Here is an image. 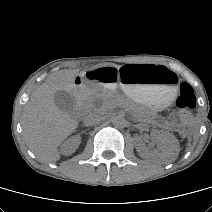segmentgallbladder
Returning <instances> with one entry per match:
<instances>
[{"instance_id": "obj_1", "label": "gallbladder", "mask_w": 212, "mask_h": 212, "mask_svg": "<svg viewBox=\"0 0 212 212\" xmlns=\"http://www.w3.org/2000/svg\"><path fill=\"white\" fill-rule=\"evenodd\" d=\"M53 98H54V102H55L56 106L60 110L66 112V113L73 112L75 102H74V97H73L72 93L63 91V90H59L54 94Z\"/></svg>"}]
</instances>
